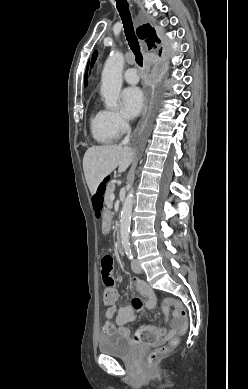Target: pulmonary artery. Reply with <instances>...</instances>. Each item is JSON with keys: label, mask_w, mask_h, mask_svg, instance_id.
Here are the masks:
<instances>
[{"label": "pulmonary artery", "mask_w": 248, "mask_h": 389, "mask_svg": "<svg viewBox=\"0 0 248 389\" xmlns=\"http://www.w3.org/2000/svg\"><path fill=\"white\" fill-rule=\"evenodd\" d=\"M126 82L130 84H135L139 81V75L137 74V70L135 68H129L124 72L123 75Z\"/></svg>", "instance_id": "e3ab8cb5"}]
</instances>
